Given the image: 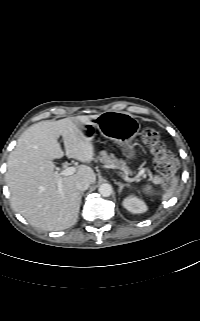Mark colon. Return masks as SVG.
<instances>
[{"label":"colon","mask_w":200,"mask_h":321,"mask_svg":"<svg viewBox=\"0 0 200 321\" xmlns=\"http://www.w3.org/2000/svg\"><path fill=\"white\" fill-rule=\"evenodd\" d=\"M142 142L149 147L154 156V166L167 185L175 181L176 158L166 149L157 131L146 129L142 133Z\"/></svg>","instance_id":"obj_1"}]
</instances>
